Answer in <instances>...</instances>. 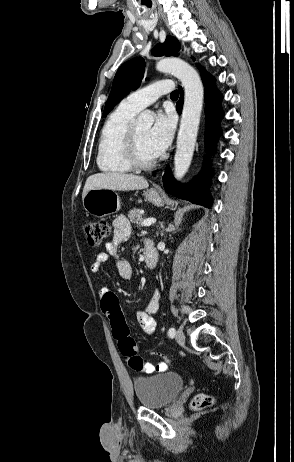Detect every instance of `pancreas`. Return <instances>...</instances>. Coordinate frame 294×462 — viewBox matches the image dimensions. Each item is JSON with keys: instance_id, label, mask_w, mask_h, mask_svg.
I'll use <instances>...</instances> for the list:
<instances>
[{"instance_id": "obj_1", "label": "pancreas", "mask_w": 294, "mask_h": 462, "mask_svg": "<svg viewBox=\"0 0 294 462\" xmlns=\"http://www.w3.org/2000/svg\"><path fill=\"white\" fill-rule=\"evenodd\" d=\"M130 221L136 225H140L143 222V213L140 209H132L128 213Z\"/></svg>"}]
</instances>
